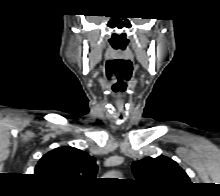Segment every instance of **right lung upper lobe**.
<instances>
[{
    "instance_id": "right-lung-upper-lobe-1",
    "label": "right lung upper lobe",
    "mask_w": 220,
    "mask_h": 196,
    "mask_svg": "<svg viewBox=\"0 0 220 196\" xmlns=\"http://www.w3.org/2000/svg\"><path fill=\"white\" fill-rule=\"evenodd\" d=\"M96 173L93 157L82 150L64 146L42 156L34 174L63 184H84L95 179Z\"/></svg>"
}]
</instances>
